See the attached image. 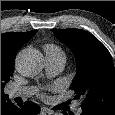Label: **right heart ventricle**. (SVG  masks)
<instances>
[{
  "label": "right heart ventricle",
  "mask_w": 115,
  "mask_h": 115,
  "mask_svg": "<svg viewBox=\"0 0 115 115\" xmlns=\"http://www.w3.org/2000/svg\"><path fill=\"white\" fill-rule=\"evenodd\" d=\"M45 51H46V53H59V54L64 55L62 50L54 44L45 45Z\"/></svg>",
  "instance_id": "right-heart-ventricle-1"
}]
</instances>
